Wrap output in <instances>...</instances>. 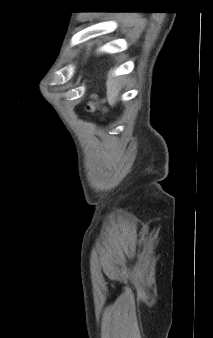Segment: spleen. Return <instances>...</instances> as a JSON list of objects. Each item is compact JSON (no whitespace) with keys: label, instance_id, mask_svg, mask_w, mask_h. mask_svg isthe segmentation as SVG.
I'll return each mask as SVG.
<instances>
[{"label":"spleen","instance_id":"spleen-1","mask_svg":"<svg viewBox=\"0 0 213 338\" xmlns=\"http://www.w3.org/2000/svg\"><path fill=\"white\" fill-rule=\"evenodd\" d=\"M118 82L116 79L109 80L107 82L108 95L110 102L113 104L114 98L118 95Z\"/></svg>","mask_w":213,"mask_h":338}]
</instances>
